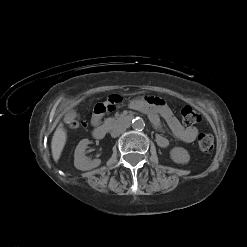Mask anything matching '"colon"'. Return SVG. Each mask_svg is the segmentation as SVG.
I'll return each instance as SVG.
<instances>
[{"label":"colon","mask_w":247,"mask_h":247,"mask_svg":"<svg viewBox=\"0 0 247 247\" xmlns=\"http://www.w3.org/2000/svg\"><path fill=\"white\" fill-rule=\"evenodd\" d=\"M182 121L187 126H192L198 123L201 119L200 114L190 105H185L181 109ZM82 126V122L78 119L71 123L72 128H79ZM198 146L203 152H210L214 148V139L212 135L203 133L199 135Z\"/></svg>","instance_id":"5ec220e1"}]
</instances>
